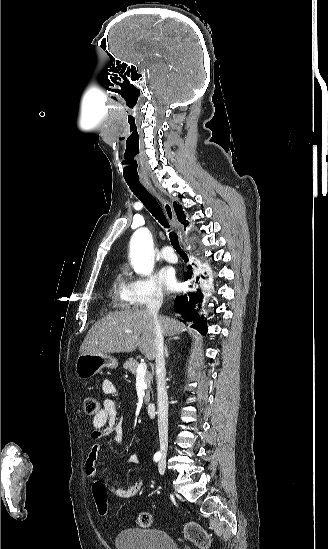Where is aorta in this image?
I'll return each instance as SVG.
<instances>
[{
	"mask_svg": "<svg viewBox=\"0 0 328 549\" xmlns=\"http://www.w3.org/2000/svg\"><path fill=\"white\" fill-rule=\"evenodd\" d=\"M131 259L137 273L150 274L152 271V238L148 229L141 228L133 234Z\"/></svg>",
	"mask_w": 328,
	"mask_h": 549,
	"instance_id": "762f6f07",
	"label": "aorta"
}]
</instances>
